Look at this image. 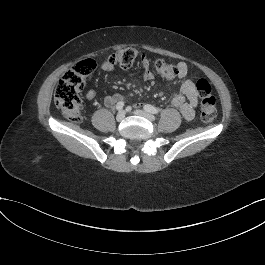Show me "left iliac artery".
<instances>
[{
	"mask_svg": "<svg viewBox=\"0 0 265 265\" xmlns=\"http://www.w3.org/2000/svg\"><path fill=\"white\" fill-rule=\"evenodd\" d=\"M144 110L149 112V113H152V114H159L160 110L151 106V105H145L144 106Z\"/></svg>",
	"mask_w": 265,
	"mask_h": 265,
	"instance_id": "1",
	"label": "left iliac artery"
}]
</instances>
